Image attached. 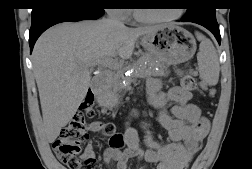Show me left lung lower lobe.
I'll return each mask as SVG.
<instances>
[{
	"label": "left lung lower lobe",
	"instance_id": "left-lung-lower-lobe-1",
	"mask_svg": "<svg viewBox=\"0 0 252 169\" xmlns=\"http://www.w3.org/2000/svg\"><path fill=\"white\" fill-rule=\"evenodd\" d=\"M182 22H193V23L202 25L203 27L207 28L215 36L218 43L220 44L221 36H220L219 26L216 21V18H199V19H192V20L182 19Z\"/></svg>",
	"mask_w": 252,
	"mask_h": 169
}]
</instances>
